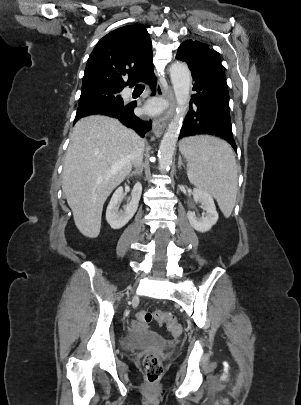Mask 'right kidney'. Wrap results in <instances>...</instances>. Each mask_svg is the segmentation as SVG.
<instances>
[{
    "label": "right kidney",
    "instance_id": "right-kidney-1",
    "mask_svg": "<svg viewBox=\"0 0 301 405\" xmlns=\"http://www.w3.org/2000/svg\"><path fill=\"white\" fill-rule=\"evenodd\" d=\"M141 194L142 185L138 182L133 187L130 203L124 207V211H119V204L123 199V188H117L106 210V220L111 228L120 229L129 222L137 211Z\"/></svg>",
    "mask_w": 301,
    "mask_h": 405
}]
</instances>
